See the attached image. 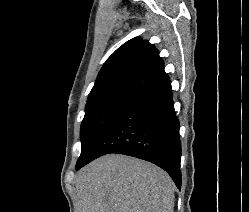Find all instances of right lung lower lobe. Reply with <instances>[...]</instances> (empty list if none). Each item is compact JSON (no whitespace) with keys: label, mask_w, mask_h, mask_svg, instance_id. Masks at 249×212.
Segmentation results:
<instances>
[{"label":"right lung lower lobe","mask_w":249,"mask_h":212,"mask_svg":"<svg viewBox=\"0 0 249 212\" xmlns=\"http://www.w3.org/2000/svg\"><path fill=\"white\" fill-rule=\"evenodd\" d=\"M108 153L152 162L168 172L180 189L179 120L174 111L170 80L139 95L120 112L76 169Z\"/></svg>","instance_id":"right-lung-lower-lobe-1"}]
</instances>
